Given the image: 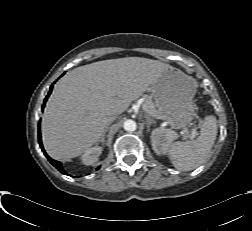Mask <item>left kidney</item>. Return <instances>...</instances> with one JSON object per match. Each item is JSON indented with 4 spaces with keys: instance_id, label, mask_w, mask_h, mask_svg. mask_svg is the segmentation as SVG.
<instances>
[{
    "instance_id": "5707ae66",
    "label": "left kidney",
    "mask_w": 252,
    "mask_h": 231,
    "mask_svg": "<svg viewBox=\"0 0 252 231\" xmlns=\"http://www.w3.org/2000/svg\"><path fill=\"white\" fill-rule=\"evenodd\" d=\"M177 138L174 131L164 128H156L152 131L151 142L156 154H165L171 141Z\"/></svg>"
}]
</instances>
